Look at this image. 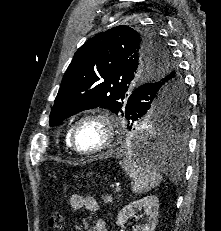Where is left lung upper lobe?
<instances>
[{
	"instance_id": "left-lung-upper-lobe-1",
	"label": "left lung upper lobe",
	"mask_w": 221,
	"mask_h": 231,
	"mask_svg": "<svg viewBox=\"0 0 221 231\" xmlns=\"http://www.w3.org/2000/svg\"><path fill=\"white\" fill-rule=\"evenodd\" d=\"M137 84L143 90L137 105H132L128 98ZM150 84L156 88L146 90ZM182 86L168 45L157 32L117 26L95 35L76 51L62 79L49 125L101 107L126 118L133 112L138 114L137 120L152 115L157 127L181 132L187 125Z\"/></svg>"
}]
</instances>
